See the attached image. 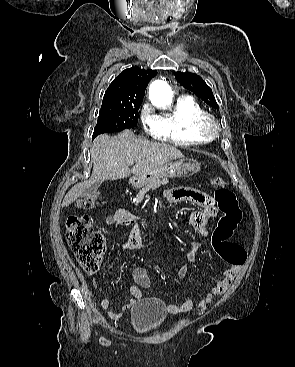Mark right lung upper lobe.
<instances>
[{"instance_id":"1","label":"right lung upper lobe","mask_w":295,"mask_h":367,"mask_svg":"<svg viewBox=\"0 0 295 367\" xmlns=\"http://www.w3.org/2000/svg\"><path fill=\"white\" fill-rule=\"evenodd\" d=\"M155 75V70L138 67L125 69L111 82L103 100L143 101L145 89Z\"/></svg>"}]
</instances>
